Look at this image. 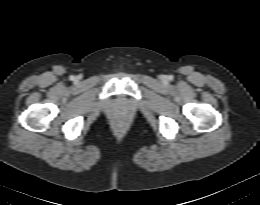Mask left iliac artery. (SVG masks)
I'll return each instance as SVG.
<instances>
[{"instance_id": "1", "label": "left iliac artery", "mask_w": 260, "mask_h": 205, "mask_svg": "<svg viewBox=\"0 0 260 205\" xmlns=\"http://www.w3.org/2000/svg\"><path fill=\"white\" fill-rule=\"evenodd\" d=\"M168 79H169V80H173V76L170 75V76L168 77Z\"/></svg>"}]
</instances>
